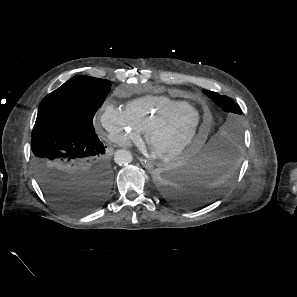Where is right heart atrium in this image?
I'll return each instance as SVG.
<instances>
[{
  "label": "right heart atrium",
  "instance_id": "d8ad5b80",
  "mask_svg": "<svg viewBox=\"0 0 297 297\" xmlns=\"http://www.w3.org/2000/svg\"><path fill=\"white\" fill-rule=\"evenodd\" d=\"M98 120L106 139L112 143L125 147L140 140L141 131L129 118L126 111L112 103L103 105Z\"/></svg>",
  "mask_w": 297,
  "mask_h": 297
}]
</instances>
